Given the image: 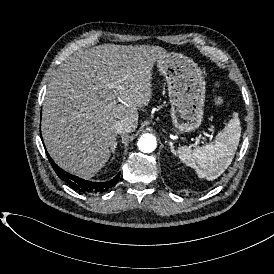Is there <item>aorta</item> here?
Segmentation results:
<instances>
[{"label": "aorta", "mask_w": 274, "mask_h": 274, "mask_svg": "<svg viewBox=\"0 0 274 274\" xmlns=\"http://www.w3.org/2000/svg\"><path fill=\"white\" fill-rule=\"evenodd\" d=\"M137 146L139 148L140 151L144 152V153H151L152 151H154L157 147V141L155 136H153L152 134H143L138 142H137Z\"/></svg>", "instance_id": "obj_1"}]
</instances>
